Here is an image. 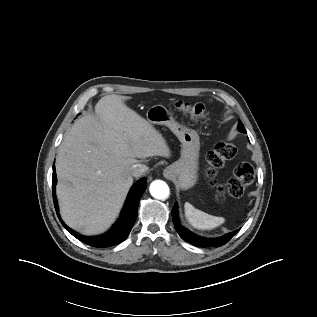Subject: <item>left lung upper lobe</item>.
I'll list each match as a JSON object with an SVG mask.
<instances>
[{
	"mask_svg": "<svg viewBox=\"0 0 317 317\" xmlns=\"http://www.w3.org/2000/svg\"><path fill=\"white\" fill-rule=\"evenodd\" d=\"M239 131L242 133H246V130L241 122L239 123Z\"/></svg>",
	"mask_w": 317,
	"mask_h": 317,
	"instance_id": "obj_1",
	"label": "left lung upper lobe"
}]
</instances>
